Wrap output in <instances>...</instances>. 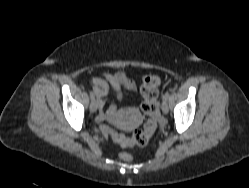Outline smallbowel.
<instances>
[{
    "label": "small bowel",
    "instance_id": "obj_1",
    "mask_svg": "<svg viewBox=\"0 0 249 188\" xmlns=\"http://www.w3.org/2000/svg\"><path fill=\"white\" fill-rule=\"evenodd\" d=\"M93 90L98 97V106L100 112L97 116L98 122L110 121L113 122L116 119V108L113 104L109 103L105 97L108 93V83L112 86L115 95L121 99L123 90L130 92L135 91L136 87L133 81L127 78L122 72L109 73L105 72L98 76H95L91 80Z\"/></svg>",
    "mask_w": 249,
    "mask_h": 188
}]
</instances>
